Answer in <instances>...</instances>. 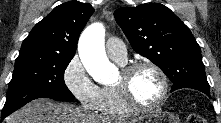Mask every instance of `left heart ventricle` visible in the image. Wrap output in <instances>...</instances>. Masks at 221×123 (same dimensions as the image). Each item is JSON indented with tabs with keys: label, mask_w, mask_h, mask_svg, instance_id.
Here are the masks:
<instances>
[{
	"label": "left heart ventricle",
	"mask_w": 221,
	"mask_h": 123,
	"mask_svg": "<svg viewBox=\"0 0 221 123\" xmlns=\"http://www.w3.org/2000/svg\"><path fill=\"white\" fill-rule=\"evenodd\" d=\"M122 80L123 76L120 74L116 84L121 83ZM129 88L138 103L152 105L159 99L162 85L160 77L155 71L150 68H142L130 77Z\"/></svg>",
	"instance_id": "left-heart-ventricle-1"
}]
</instances>
